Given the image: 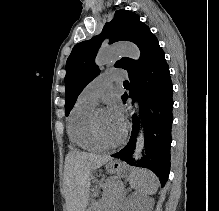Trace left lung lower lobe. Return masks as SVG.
Returning <instances> with one entry per match:
<instances>
[{
    "label": "left lung lower lobe",
    "instance_id": "0a47b994",
    "mask_svg": "<svg viewBox=\"0 0 219 211\" xmlns=\"http://www.w3.org/2000/svg\"><path fill=\"white\" fill-rule=\"evenodd\" d=\"M131 88L129 95L140 105V118L144 127V150L136 166L152 170L164 186L170 171V147L172 128L173 84L164 51L160 49L140 68L129 74ZM133 128L128 144L119 152L111 155L133 164L132 154L139 130L138 117H132Z\"/></svg>",
    "mask_w": 219,
    "mask_h": 211
}]
</instances>
